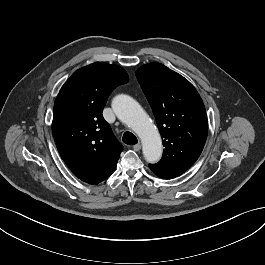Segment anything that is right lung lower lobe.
Instances as JSON below:
<instances>
[{"mask_svg":"<svg viewBox=\"0 0 265 265\" xmlns=\"http://www.w3.org/2000/svg\"><path fill=\"white\" fill-rule=\"evenodd\" d=\"M115 167H116V165L113 168H111L110 170H108L106 172V174L104 176H102L101 178H98L94 181L87 182V183L92 184V185H96V184L100 183L101 181L107 179L113 173V171L115 170Z\"/></svg>","mask_w":265,"mask_h":265,"instance_id":"98d812e1","label":"right lung lower lobe"}]
</instances>
